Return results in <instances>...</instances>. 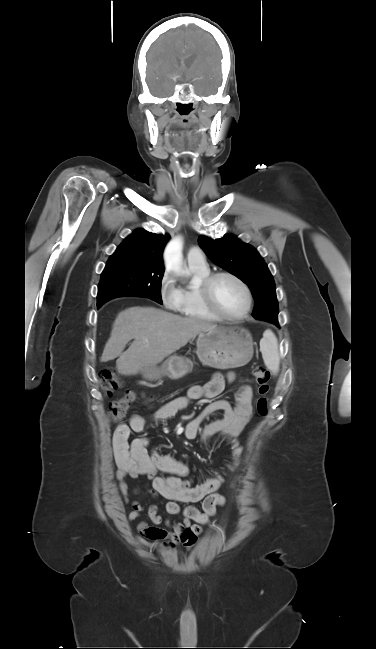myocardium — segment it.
<instances>
[{
  "instance_id": "obj_1",
  "label": "myocardium",
  "mask_w": 376,
  "mask_h": 649,
  "mask_svg": "<svg viewBox=\"0 0 376 649\" xmlns=\"http://www.w3.org/2000/svg\"><path fill=\"white\" fill-rule=\"evenodd\" d=\"M221 277H229L236 281L243 289L246 297V307L244 311L238 316H231L223 312L216 304L213 296V288L217 279ZM200 294L205 307L217 317L232 322H238L246 319L250 314L252 308V292L248 284L237 274L230 271H218L210 273L200 282Z\"/></svg>"
}]
</instances>
